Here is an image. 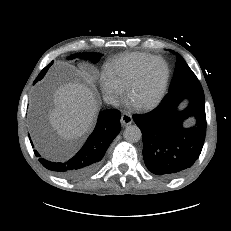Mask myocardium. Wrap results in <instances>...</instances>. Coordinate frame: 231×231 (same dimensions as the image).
I'll return each instance as SVG.
<instances>
[{"mask_svg":"<svg viewBox=\"0 0 231 231\" xmlns=\"http://www.w3.org/2000/svg\"><path fill=\"white\" fill-rule=\"evenodd\" d=\"M156 61L161 62L164 66L163 80H162V83L156 95L151 100L144 102V103H140V104L135 103V106L140 110H148V109L154 108L155 106L159 104V102L163 98L167 85H168V80H169V67L166 61L162 59L161 57H151L140 67L137 74L135 75V77L133 78V80L131 81V83L129 84L127 88V98L129 100H132L133 93L135 89L138 87V85L141 83L146 70L153 62H156Z\"/></svg>","mask_w":231,"mask_h":231,"instance_id":"obj_1","label":"myocardium"}]
</instances>
